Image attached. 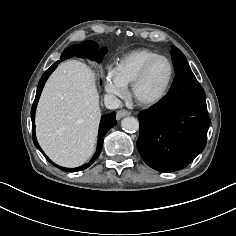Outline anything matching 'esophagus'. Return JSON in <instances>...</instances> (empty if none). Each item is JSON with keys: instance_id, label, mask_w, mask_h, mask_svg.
I'll return each mask as SVG.
<instances>
[{"instance_id": "obj_1", "label": "esophagus", "mask_w": 236, "mask_h": 236, "mask_svg": "<svg viewBox=\"0 0 236 236\" xmlns=\"http://www.w3.org/2000/svg\"><path fill=\"white\" fill-rule=\"evenodd\" d=\"M129 115H130L129 111L121 109V110L117 111L116 118H117V120H120L121 118H123L125 116H129Z\"/></svg>"}]
</instances>
